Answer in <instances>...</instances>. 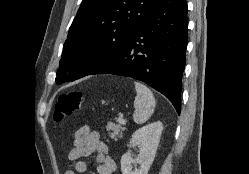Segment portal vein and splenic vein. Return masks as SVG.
I'll use <instances>...</instances> for the list:
<instances>
[{
    "instance_id": "portal-vein-and-splenic-vein-1",
    "label": "portal vein and splenic vein",
    "mask_w": 249,
    "mask_h": 174,
    "mask_svg": "<svg viewBox=\"0 0 249 174\" xmlns=\"http://www.w3.org/2000/svg\"><path fill=\"white\" fill-rule=\"evenodd\" d=\"M118 122L122 125H125L126 124V120L123 118V117H119L118 118Z\"/></svg>"
}]
</instances>
